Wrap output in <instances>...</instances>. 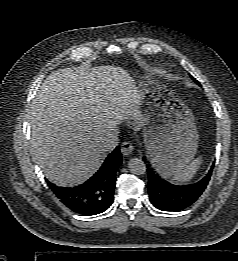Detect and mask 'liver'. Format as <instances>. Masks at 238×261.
I'll list each match as a JSON object with an SVG mask.
<instances>
[{
    "instance_id": "1",
    "label": "liver",
    "mask_w": 238,
    "mask_h": 261,
    "mask_svg": "<svg viewBox=\"0 0 238 261\" xmlns=\"http://www.w3.org/2000/svg\"><path fill=\"white\" fill-rule=\"evenodd\" d=\"M142 97L121 67L65 68L40 86L30 110L31 155L52 183L73 187L88 180L109 151L108 132L124 119L143 126Z\"/></svg>"
}]
</instances>
